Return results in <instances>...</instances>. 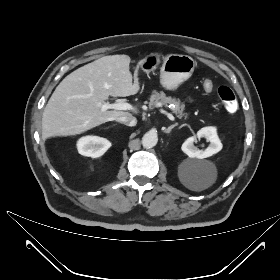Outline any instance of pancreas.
<instances>
[{
	"label": "pancreas",
	"mask_w": 280,
	"mask_h": 280,
	"mask_svg": "<svg viewBox=\"0 0 280 280\" xmlns=\"http://www.w3.org/2000/svg\"><path fill=\"white\" fill-rule=\"evenodd\" d=\"M149 108L153 109L162 105L173 104L174 107L171 108L173 113L176 114L178 118L184 117L188 118L189 114L185 113V104L181 102L179 99L172 98L170 96H166L164 92H158L154 90L149 98Z\"/></svg>",
	"instance_id": "1"
}]
</instances>
